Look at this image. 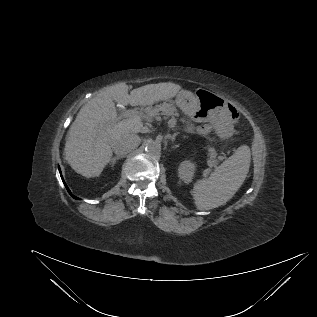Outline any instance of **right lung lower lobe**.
I'll list each match as a JSON object with an SVG mask.
<instances>
[{
  "instance_id": "98d812e1",
  "label": "right lung lower lobe",
  "mask_w": 317,
  "mask_h": 317,
  "mask_svg": "<svg viewBox=\"0 0 317 317\" xmlns=\"http://www.w3.org/2000/svg\"><path fill=\"white\" fill-rule=\"evenodd\" d=\"M59 170H60V168H59ZM60 174H61V171H60ZM61 178H62V180H63L62 175H61ZM63 182H64V180H63ZM64 184H65V182H64ZM65 186H66V189L68 190V192L70 193V195H71L73 198L78 199L77 197H75L74 195H72V193L70 192V190H69V188L67 187L66 184H65Z\"/></svg>"
}]
</instances>
